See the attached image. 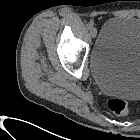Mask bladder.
Masks as SVG:
<instances>
[{
    "label": "bladder",
    "mask_w": 140,
    "mask_h": 140,
    "mask_svg": "<svg viewBox=\"0 0 140 140\" xmlns=\"http://www.w3.org/2000/svg\"><path fill=\"white\" fill-rule=\"evenodd\" d=\"M90 68L99 87L120 98H140V18L108 20L90 53Z\"/></svg>",
    "instance_id": "31cf9c89"
}]
</instances>
